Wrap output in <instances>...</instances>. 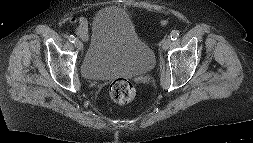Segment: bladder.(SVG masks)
<instances>
[{"mask_svg":"<svg viewBox=\"0 0 253 143\" xmlns=\"http://www.w3.org/2000/svg\"><path fill=\"white\" fill-rule=\"evenodd\" d=\"M155 66L153 49L138 36L126 10L112 5L96 13L81 63L87 79L141 76L153 71Z\"/></svg>","mask_w":253,"mask_h":143,"instance_id":"31cf9c89","label":"bladder"}]
</instances>
